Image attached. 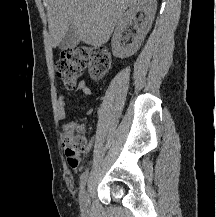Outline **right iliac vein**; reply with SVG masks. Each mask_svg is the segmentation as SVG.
Returning a JSON list of instances; mask_svg holds the SVG:
<instances>
[{
  "instance_id": "63e3f726",
  "label": "right iliac vein",
  "mask_w": 216,
  "mask_h": 217,
  "mask_svg": "<svg viewBox=\"0 0 216 217\" xmlns=\"http://www.w3.org/2000/svg\"><path fill=\"white\" fill-rule=\"evenodd\" d=\"M80 208L83 212H88L89 210V199L86 190H82L79 197Z\"/></svg>"
}]
</instances>
